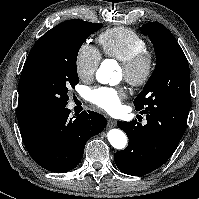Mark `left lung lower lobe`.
Here are the masks:
<instances>
[{"mask_svg":"<svg viewBox=\"0 0 199 199\" xmlns=\"http://www.w3.org/2000/svg\"><path fill=\"white\" fill-rule=\"evenodd\" d=\"M188 108L160 104L146 113L147 124L118 121L129 138L126 149L114 154L116 166L133 176L161 167L174 153L186 128Z\"/></svg>","mask_w":199,"mask_h":199,"instance_id":"left-lung-lower-lobe-1","label":"left lung lower lobe"}]
</instances>
